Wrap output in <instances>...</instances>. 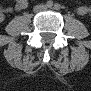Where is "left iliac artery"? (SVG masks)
I'll return each mask as SVG.
<instances>
[{
  "instance_id": "obj_1",
  "label": "left iliac artery",
  "mask_w": 91,
  "mask_h": 91,
  "mask_svg": "<svg viewBox=\"0 0 91 91\" xmlns=\"http://www.w3.org/2000/svg\"><path fill=\"white\" fill-rule=\"evenodd\" d=\"M55 9L56 10L59 9V5L58 4L55 5Z\"/></svg>"
}]
</instances>
